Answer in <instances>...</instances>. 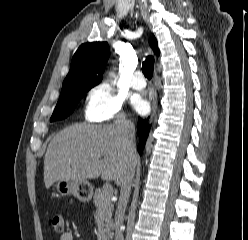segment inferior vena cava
<instances>
[{
    "label": "inferior vena cava",
    "mask_w": 248,
    "mask_h": 240,
    "mask_svg": "<svg viewBox=\"0 0 248 240\" xmlns=\"http://www.w3.org/2000/svg\"><path fill=\"white\" fill-rule=\"evenodd\" d=\"M116 124L123 133L124 142L127 146L128 151L129 152L135 151L136 148L134 143L135 140L134 124L126 120L118 121ZM134 175H135V166L130 163L119 182L121 191H120V197H119V202L115 217V240H124L121 227L123 224L124 213L126 210L128 199L131 193V187H132Z\"/></svg>",
    "instance_id": "obj_1"
}]
</instances>
